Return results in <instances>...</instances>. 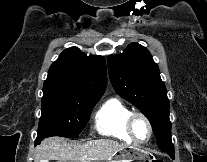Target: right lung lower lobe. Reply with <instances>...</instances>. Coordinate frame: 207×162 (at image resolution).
<instances>
[{
  "label": "right lung lower lobe",
  "instance_id": "obj_1",
  "mask_svg": "<svg viewBox=\"0 0 207 162\" xmlns=\"http://www.w3.org/2000/svg\"><path fill=\"white\" fill-rule=\"evenodd\" d=\"M41 141H39V140H36L35 141V146H36V144H38V143H40Z\"/></svg>",
  "mask_w": 207,
  "mask_h": 162
}]
</instances>
